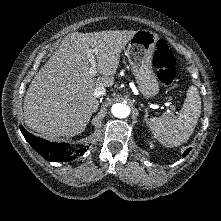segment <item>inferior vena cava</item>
I'll use <instances>...</instances> for the list:
<instances>
[{
	"label": "inferior vena cava",
	"mask_w": 221,
	"mask_h": 221,
	"mask_svg": "<svg viewBox=\"0 0 221 221\" xmlns=\"http://www.w3.org/2000/svg\"><path fill=\"white\" fill-rule=\"evenodd\" d=\"M106 94V89L104 87H96L94 90L95 97H100Z\"/></svg>",
	"instance_id": "602c4592"
}]
</instances>
